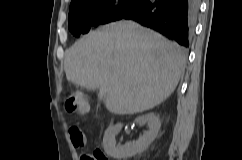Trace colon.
Instances as JSON below:
<instances>
[{"label": "colon", "mask_w": 242, "mask_h": 160, "mask_svg": "<svg viewBox=\"0 0 242 160\" xmlns=\"http://www.w3.org/2000/svg\"><path fill=\"white\" fill-rule=\"evenodd\" d=\"M65 109L69 113L86 114L89 111V105L85 95L81 92L71 93L65 100ZM70 134L76 144H82L83 136L80 128L71 127ZM84 160H108V158L101 151L95 150L92 154H86Z\"/></svg>", "instance_id": "obj_1"}]
</instances>
